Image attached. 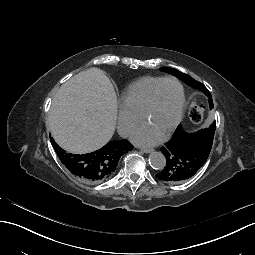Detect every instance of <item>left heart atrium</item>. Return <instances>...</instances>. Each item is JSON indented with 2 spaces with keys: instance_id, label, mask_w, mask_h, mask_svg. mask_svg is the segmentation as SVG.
Instances as JSON below:
<instances>
[{
  "instance_id": "left-heart-atrium-1",
  "label": "left heart atrium",
  "mask_w": 255,
  "mask_h": 255,
  "mask_svg": "<svg viewBox=\"0 0 255 255\" xmlns=\"http://www.w3.org/2000/svg\"><path fill=\"white\" fill-rule=\"evenodd\" d=\"M133 138L139 144H155L161 140L160 135L144 126L136 130Z\"/></svg>"
}]
</instances>
